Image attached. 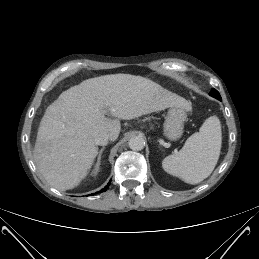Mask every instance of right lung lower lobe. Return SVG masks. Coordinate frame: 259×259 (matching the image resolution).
Segmentation results:
<instances>
[{
	"instance_id": "obj_1",
	"label": "right lung lower lobe",
	"mask_w": 259,
	"mask_h": 259,
	"mask_svg": "<svg viewBox=\"0 0 259 259\" xmlns=\"http://www.w3.org/2000/svg\"><path fill=\"white\" fill-rule=\"evenodd\" d=\"M109 187V184L106 185V187L104 189H102L100 192H105L107 190V188Z\"/></svg>"
}]
</instances>
